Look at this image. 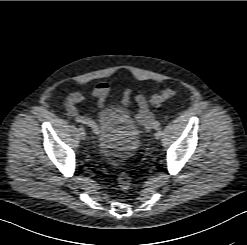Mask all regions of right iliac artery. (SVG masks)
Here are the masks:
<instances>
[{
	"label": "right iliac artery",
	"instance_id": "right-iliac-artery-1",
	"mask_svg": "<svg viewBox=\"0 0 247 245\" xmlns=\"http://www.w3.org/2000/svg\"><path fill=\"white\" fill-rule=\"evenodd\" d=\"M75 121L77 123H82V124H86V125L90 126L92 128L93 132L97 133L96 132L97 131V126H96L95 122L93 120H91L90 118L80 116V117H77L75 119Z\"/></svg>",
	"mask_w": 247,
	"mask_h": 245
}]
</instances>
